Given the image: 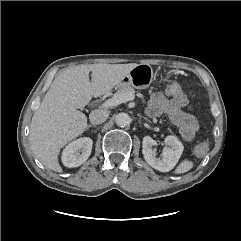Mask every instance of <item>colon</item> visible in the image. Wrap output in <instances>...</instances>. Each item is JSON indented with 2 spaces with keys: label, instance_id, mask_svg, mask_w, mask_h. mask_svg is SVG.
<instances>
[{
  "label": "colon",
  "instance_id": "5ec220e1",
  "mask_svg": "<svg viewBox=\"0 0 241 241\" xmlns=\"http://www.w3.org/2000/svg\"><path fill=\"white\" fill-rule=\"evenodd\" d=\"M165 93L166 95L172 97L181 105L183 106L188 105L187 96L178 84L176 83L168 84L165 88ZM208 150H209L208 144L205 142H202L195 147L194 151L198 157H203L207 154Z\"/></svg>",
  "mask_w": 241,
  "mask_h": 241
}]
</instances>
